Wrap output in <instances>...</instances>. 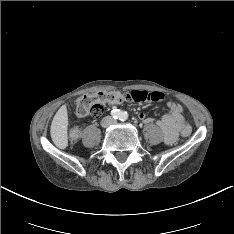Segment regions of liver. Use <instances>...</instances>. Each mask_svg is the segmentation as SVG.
Segmentation results:
<instances>
[{
  "label": "liver",
  "mask_w": 234,
  "mask_h": 234,
  "mask_svg": "<svg viewBox=\"0 0 234 234\" xmlns=\"http://www.w3.org/2000/svg\"><path fill=\"white\" fill-rule=\"evenodd\" d=\"M67 129L68 113L66 105H63L56 112L50 128L52 141L60 149H65L68 145Z\"/></svg>",
  "instance_id": "obj_1"
}]
</instances>
